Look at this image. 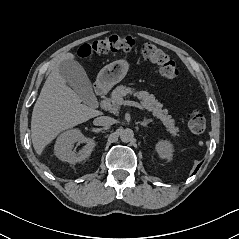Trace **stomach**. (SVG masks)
Wrapping results in <instances>:
<instances>
[{"instance_id":"0dacf381","label":"stomach","mask_w":239,"mask_h":239,"mask_svg":"<svg viewBox=\"0 0 239 239\" xmlns=\"http://www.w3.org/2000/svg\"><path fill=\"white\" fill-rule=\"evenodd\" d=\"M128 68L126 60H116L101 69L96 82L101 88L110 89L125 77Z\"/></svg>"}]
</instances>
